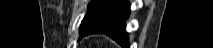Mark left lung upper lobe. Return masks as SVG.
I'll use <instances>...</instances> for the list:
<instances>
[{
    "label": "left lung upper lobe",
    "mask_w": 213,
    "mask_h": 48,
    "mask_svg": "<svg viewBox=\"0 0 213 48\" xmlns=\"http://www.w3.org/2000/svg\"><path fill=\"white\" fill-rule=\"evenodd\" d=\"M117 0H92L89 3L88 11L81 23L80 33L82 30L87 26L90 20L99 12L103 11L104 9L110 7L114 4Z\"/></svg>",
    "instance_id": "left-lung-upper-lobe-1"
}]
</instances>
